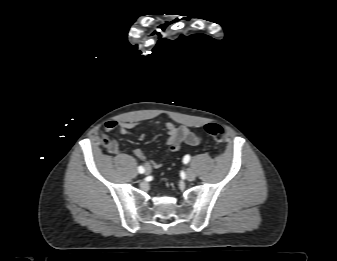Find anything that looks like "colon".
I'll return each instance as SVG.
<instances>
[{
  "label": "colon",
  "instance_id": "colon-1",
  "mask_svg": "<svg viewBox=\"0 0 337 261\" xmlns=\"http://www.w3.org/2000/svg\"><path fill=\"white\" fill-rule=\"evenodd\" d=\"M206 133L210 135L218 144H222L224 141V130L223 128L216 123H208L204 127ZM103 143L105 146L109 147L110 142L108 139L104 138Z\"/></svg>",
  "mask_w": 337,
  "mask_h": 261
}]
</instances>
